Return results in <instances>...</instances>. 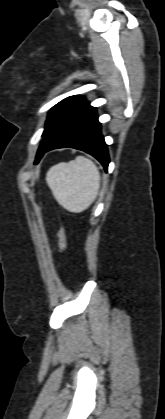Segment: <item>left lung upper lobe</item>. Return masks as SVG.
I'll return each instance as SVG.
<instances>
[{
    "instance_id": "obj_1",
    "label": "left lung upper lobe",
    "mask_w": 165,
    "mask_h": 419,
    "mask_svg": "<svg viewBox=\"0 0 165 419\" xmlns=\"http://www.w3.org/2000/svg\"><path fill=\"white\" fill-rule=\"evenodd\" d=\"M85 102L84 97L76 95L65 98L55 106L51 108L48 113V117L45 123V129L42 136H45L50 129L62 118L65 114L71 111L76 106Z\"/></svg>"
}]
</instances>
